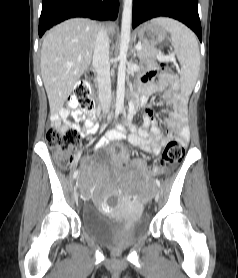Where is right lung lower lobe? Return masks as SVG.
<instances>
[{"label": "right lung lower lobe", "instance_id": "98d812e1", "mask_svg": "<svg viewBox=\"0 0 238 278\" xmlns=\"http://www.w3.org/2000/svg\"><path fill=\"white\" fill-rule=\"evenodd\" d=\"M119 0H42L39 36L52 26L74 17L115 20Z\"/></svg>", "mask_w": 238, "mask_h": 278}]
</instances>
